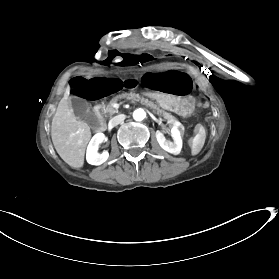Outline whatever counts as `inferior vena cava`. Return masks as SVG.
<instances>
[{
  "instance_id": "inferior-vena-cava-1",
  "label": "inferior vena cava",
  "mask_w": 279,
  "mask_h": 279,
  "mask_svg": "<svg viewBox=\"0 0 279 279\" xmlns=\"http://www.w3.org/2000/svg\"><path fill=\"white\" fill-rule=\"evenodd\" d=\"M124 119H125V115H123V114L118 115V116L114 117L113 119H111V125L114 127V126L118 125L121 122L124 123L123 122ZM108 126H110V122H109Z\"/></svg>"
}]
</instances>
